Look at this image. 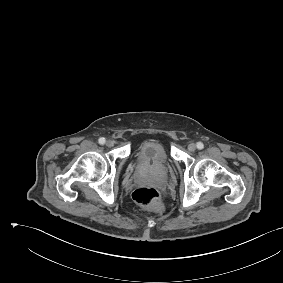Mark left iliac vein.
<instances>
[{
	"instance_id": "4c4485c4",
	"label": "left iliac vein",
	"mask_w": 283,
	"mask_h": 283,
	"mask_svg": "<svg viewBox=\"0 0 283 283\" xmlns=\"http://www.w3.org/2000/svg\"><path fill=\"white\" fill-rule=\"evenodd\" d=\"M188 150H189L190 152H194V151L196 150V145H195L194 143H190V144L188 145Z\"/></svg>"
}]
</instances>
